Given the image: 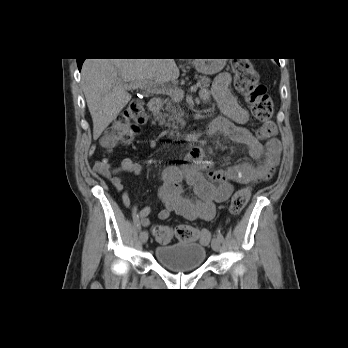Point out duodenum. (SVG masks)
I'll list each match as a JSON object with an SVG mask.
<instances>
[{"mask_svg":"<svg viewBox=\"0 0 348 348\" xmlns=\"http://www.w3.org/2000/svg\"><path fill=\"white\" fill-rule=\"evenodd\" d=\"M162 100L160 98H152L149 101V109L153 113H159L162 108ZM204 134L199 131H193L185 136V140L188 142H199L203 139Z\"/></svg>","mask_w":348,"mask_h":348,"instance_id":"410a0bca","label":"duodenum"}]
</instances>
